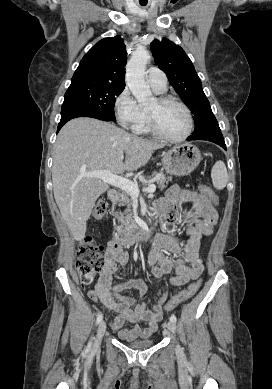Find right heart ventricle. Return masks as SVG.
I'll list each match as a JSON object with an SVG mask.
<instances>
[{"mask_svg":"<svg viewBox=\"0 0 272 389\" xmlns=\"http://www.w3.org/2000/svg\"><path fill=\"white\" fill-rule=\"evenodd\" d=\"M162 94V93H158ZM144 116L142 121L133 129L135 133L137 134H149L151 133L149 119L147 111L143 110Z\"/></svg>","mask_w":272,"mask_h":389,"instance_id":"obj_1","label":"right heart ventricle"}]
</instances>
